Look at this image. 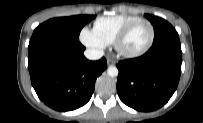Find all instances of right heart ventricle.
Returning a JSON list of instances; mask_svg holds the SVG:
<instances>
[{
  "label": "right heart ventricle",
  "mask_w": 203,
  "mask_h": 123,
  "mask_svg": "<svg viewBox=\"0 0 203 123\" xmlns=\"http://www.w3.org/2000/svg\"><path fill=\"white\" fill-rule=\"evenodd\" d=\"M137 19H140V17L126 14L100 17L94 22L93 32L100 41L109 45L114 42L124 27Z\"/></svg>",
  "instance_id": "e07e8e85"
}]
</instances>
